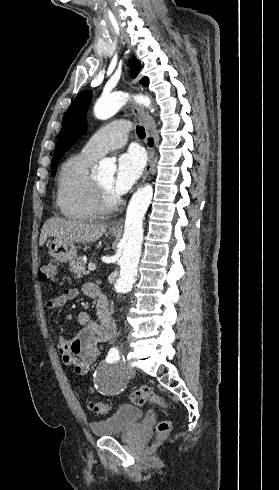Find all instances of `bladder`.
<instances>
[{"label":"bladder","instance_id":"obj_1","mask_svg":"<svg viewBox=\"0 0 279 490\" xmlns=\"http://www.w3.org/2000/svg\"><path fill=\"white\" fill-rule=\"evenodd\" d=\"M145 411L134 405H120L119 409L101 421H93L90 431L96 437L115 436L124 431L135 428L140 424Z\"/></svg>","mask_w":279,"mask_h":490}]
</instances>
